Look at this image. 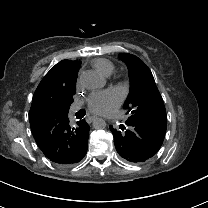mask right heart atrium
<instances>
[{"label": "right heart atrium", "instance_id": "right-heart-atrium-1", "mask_svg": "<svg viewBox=\"0 0 208 208\" xmlns=\"http://www.w3.org/2000/svg\"><path fill=\"white\" fill-rule=\"evenodd\" d=\"M76 87H77V89L80 88V76H78V78H77Z\"/></svg>", "mask_w": 208, "mask_h": 208}]
</instances>
